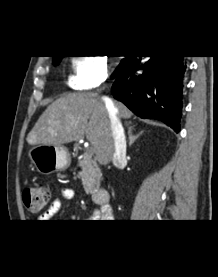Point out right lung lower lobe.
Segmentation results:
<instances>
[{
  "label": "right lung lower lobe",
  "instance_id": "obj_1",
  "mask_svg": "<svg viewBox=\"0 0 218 277\" xmlns=\"http://www.w3.org/2000/svg\"><path fill=\"white\" fill-rule=\"evenodd\" d=\"M186 68L184 56H151L139 67L137 58L129 57L115 71L111 91L136 115L161 120L179 132ZM137 69L143 73L135 75Z\"/></svg>",
  "mask_w": 218,
  "mask_h": 277
}]
</instances>
